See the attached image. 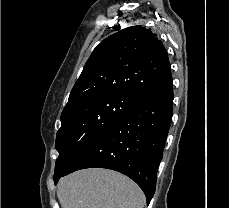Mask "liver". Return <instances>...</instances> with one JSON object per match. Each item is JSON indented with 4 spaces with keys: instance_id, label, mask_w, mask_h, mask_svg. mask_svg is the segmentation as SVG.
I'll return each instance as SVG.
<instances>
[{
    "instance_id": "1",
    "label": "liver",
    "mask_w": 229,
    "mask_h": 208,
    "mask_svg": "<svg viewBox=\"0 0 229 208\" xmlns=\"http://www.w3.org/2000/svg\"><path fill=\"white\" fill-rule=\"evenodd\" d=\"M61 208H144L146 198L127 176L111 170H80L59 180Z\"/></svg>"
}]
</instances>
